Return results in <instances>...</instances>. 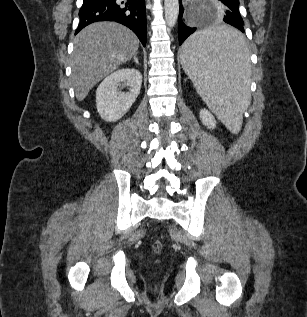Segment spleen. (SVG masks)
Wrapping results in <instances>:
<instances>
[{"label":"spleen","mask_w":307,"mask_h":317,"mask_svg":"<svg viewBox=\"0 0 307 317\" xmlns=\"http://www.w3.org/2000/svg\"><path fill=\"white\" fill-rule=\"evenodd\" d=\"M248 37L232 26H205L181 49L183 70L197 92L232 132L238 133L251 101Z\"/></svg>","instance_id":"3e777b00"}]
</instances>
